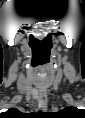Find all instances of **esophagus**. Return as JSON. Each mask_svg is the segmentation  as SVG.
<instances>
[{
  "mask_svg": "<svg viewBox=\"0 0 85 118\" xmlns=\"http://www.w3.org/2000/svg\"><path fill=\"white\" fill-rule=\"evenodd\" d=\"M47 103H48L47 92L45 90L40 91L39 96H38V106H39L40 110L46 112Z\"/></svg>",
  "mask_w": 85,
  "mask_h": 118,
  "instance_id": "1",
  "label": "esophagus"
}]
</instances>
